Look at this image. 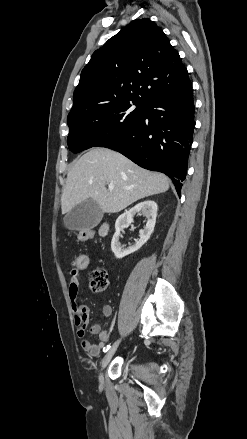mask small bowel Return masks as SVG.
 Here are the masks:
<instances>
[{
	"instance_id": "1",
	"label": "small bowel",
	"mask_w": 247,
	"mask_h": 439,
	"mask_svg": "<svg viewBox=\"0 0 247 439\" xmlns=\"http://www.w3.org/2000/svg\"><path fill=\"white\" fill-rule=\"evenodd\" d=\"M79 278L80 270L73 268L70 271L69 277V297L77 328V335L82 339L80 342L81 348L89 355L97 357L101 354L102 349L108 341L110 332L107 329L102 328V322H98L90 327V332L98 335L97 343H91L84 338L89 327V308L86 305L78 304L77 302ZM112 311V307L109 304L104 305L102 308L103 317L105 319L109 318L112 315Z\"/></svg>"
}]
</instances>
